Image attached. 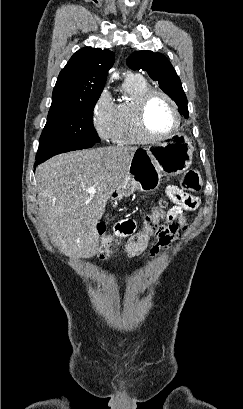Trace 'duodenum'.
Segmentation results:
<instances>
[{
    "label": "duodenum",
    "mask_w": 243,
    "mask_h": 409,
    "mask_svg": "<svg viewBox=\"0 0 243 409\" xmlns=\"http://www.w3.org/2000/svg\"><path fill=\"white\" fill-rule=\"evenodd\" d=\"M133 229V224L130 221H123L116 226V230L119 232H130Z\"/></svg>",
    "instance_id": "duodenum-1"
}]
</instances>
